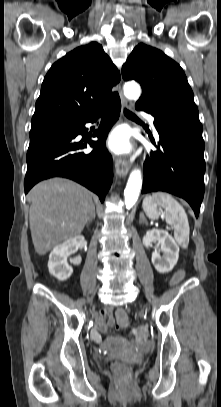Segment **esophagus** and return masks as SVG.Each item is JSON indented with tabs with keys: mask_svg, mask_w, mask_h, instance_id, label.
I'll return each mask as SVG.
<instances>
[{
	"mask_svg": "<svg viewBox=\"0 0 221 407\" xmlns=\"http://www.w3.org/2000/svg\"><path fill=\"white\" fill-rule=\"evenodd\" d=\"M119 94L121 97V101H122V105L126 108H130L131 107V102L128 101L122 94V90L120 88V84H119ZM129 164L127 162L126 159L119 157L116 158L115 160V169H116V173L117 175H119L120 177H124L127 175L128 171H129Z\"/></svg>",
	"mask_w": 221,
	"mask_h": 407,
	"instance_id": "esophagus-1",
	"label": "esophagus"
}]
</instances>
